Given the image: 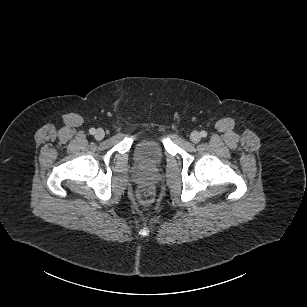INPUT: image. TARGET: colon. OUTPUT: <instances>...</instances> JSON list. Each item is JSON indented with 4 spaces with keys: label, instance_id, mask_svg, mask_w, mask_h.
<instances>
[{
    "label": "colon",
    "instance_id": "1",
    "mask_svg": "<svg viewBox=\"0 0 307 307\" xmlns=\"http://www.w3.org/2000/svg\"><path fill=\"white\" fill-rule=\"evenodd\" d=\"M139 198L143 204H150L153 201V191L148 187H144L139 192Z\"/></svg>",
    "mask_w": 307,
    "mask_h": 307
}]
</instances>
